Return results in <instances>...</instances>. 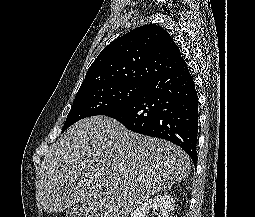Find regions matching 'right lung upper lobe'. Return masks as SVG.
<instances>
[{"mask_svg": "<svg viewBox=\"0 0 255 217\" xmlns=\"http://www.w3.org/2000/svg\"><path fill=\"white\" fill-rule=\"evenodd\" d=\"M186 65L177 44L158 25L140 26L106 46L78 92L114 84L148 85Z\"/></svg>", "mask_w": 255, "mask_h": 217, "instance_id": "1", "label": "right lung upper lobe"}]
</instances>
